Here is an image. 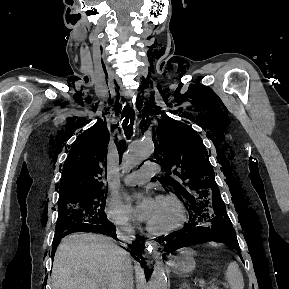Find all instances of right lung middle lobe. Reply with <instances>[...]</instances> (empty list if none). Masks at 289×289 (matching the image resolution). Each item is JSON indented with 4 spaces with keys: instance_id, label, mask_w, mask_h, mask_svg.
Segmentation results:
<instances>
[{
    "instance_id": "dd1d6c3e",
    "label": "right lung middle lobe",
    "mask_w": 289,
    "mask_h": 289,
    "mask_svg": "<svg viewBox=\"0 0 289 289\" xmlns=\"http://www.w3.org/2000/svg\"><path fill=\"white\" fill-rule=\"evenodd\" d=\"M106 195L107 188H100L60 197L55 237L70 234L80 223L106 218Z\"/></svg>"
}]
</instances>
